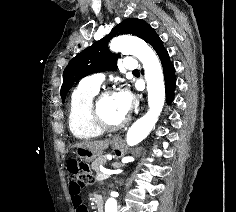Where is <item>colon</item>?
<instances>
[{"label":"colon","mask_w":236,"mask_h":212,"mask_svg":"<svg viewBox=\"0 0 236 212\" xmlns=\"http://www.w3.org/2000/svg\"><path fill=\"white\" fill-rule=\"evenodd\" d=\"M69 175H76V179H80L81 185L88 186L91 184L93 177L85 163L77 160H71L68 162Z\"/></svg>","instance_id":"5ec220e1"}]
</instances>
